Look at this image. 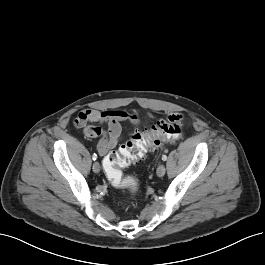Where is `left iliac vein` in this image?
Masks as SVG:
<instances>
[{
	"label": "left iliac vein",
	"mask_w": 265,
	"mask_h": 265,
	"mask_svg": "<svg viewBox=\"0 0 265 265\" xmlns=\"http://www.w3.org/2000/svg\"><path fill=\"white\" fill-rule=\"evenodd\" d=\"M165 172H166L165 166L159 165L157 168V171H156L157 176L162 177V176H164Z\"/></svg>",
	"instance_id": "4c4485c4"
}]
</instances>
